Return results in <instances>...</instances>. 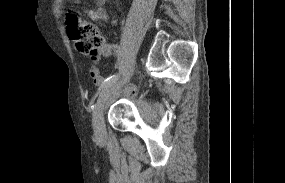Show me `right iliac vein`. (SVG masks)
Segmentation results:
<instances>
[{"label": "right iliac vein", "instance_id": "obj_1", "mask_svg": "<svg viewBox=\"0 0 285 183\" xmlns=\"http://www.w3.org/2000/svg\"><path fill=\"white\" fill-rule=\"evenodd\" d=\"M132 75V71H130L126 77L128 79ZM124 81H115L110 85H107L103 88L100 93L97 102L95 104L94 112H93V125L95 129V134L98 138H104L105 136V127H104V106L107 102L111 93L116 90Z\"/></svg>", "mask_w": 285, "mask_h": 183}]
</instances>
